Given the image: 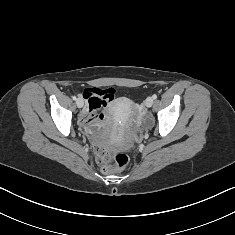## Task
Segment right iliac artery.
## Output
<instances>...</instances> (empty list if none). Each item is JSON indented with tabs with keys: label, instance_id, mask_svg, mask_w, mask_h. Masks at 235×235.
Returning a JSON list of instances; mask_svg holds the SVG:
<instances>
[{
	"label": "right iliac artery",
	"instance_id": "1",
	"mask_svg": "<svg viewBox=\"0 0 235 235\" xmlns=\"http://www.w3.org/2000/svg\"><path fill=\"white\" fill-rule=\"evenodd\" d=\"M72 98H73V100H77V97H76V96H73Z\"/></svg>",
	"mask_w": 235,
	"mask_h": 235
}]
</instances>
